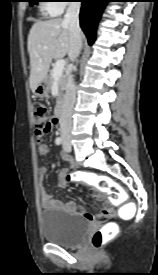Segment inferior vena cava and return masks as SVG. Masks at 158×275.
Here are the masks:
<instances>
[{
  "label": "inferior vena cava",
  "instance_id": "obj_1",
  "mask_svg": "<svg viewBox=\"0 0 158 275\" xmlns=\"http://www.w3.org/2000/svg\"><path fill=\"white\" fill-rule=\"evenodd\" d=\"M80 2H71L64 16V22L69 26L70 48L69 59L74 61L82 48L81 29L79 26ZM76 101V85L73 77H68L66 94L60 116V132L62 137L70 136L72 131V111Z\"/></svg>",
  "mask_w": 158,
  "mask_h": 275
}]
</instances>
